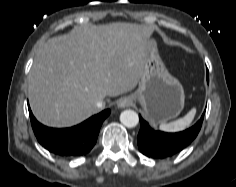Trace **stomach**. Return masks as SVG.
Returning <instances> with one entry per match:
<instances>
[{"label":"stomach","mask_w":236,"mask_h":187,"mask_svg":"<svg viewBox=\"0 0 236 187\" xmlns=\"http://www.w3.org/2000/svg\"><path fill=\"white\" fill-rule=\"evenodd\" d=\"M131 97L140 102L146 118L153 125L166 123L177 117L184 108L183 87L166 69L154 38L148 41L142 59L138 89Z\"/></svg>","instance_id":"0dacf381"}]
</instances>
